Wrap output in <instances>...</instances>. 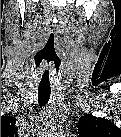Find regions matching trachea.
Instances as JSON below:
<instances>
[{"mask_svg":"<svg viewBox=\"0 0 121 137\" xmlns=\"http://www.w3.org/2000/svg\"><path fill=\"white\" fill-rule=\"evenodd\" d=\"M56 32L53 28L48 36L47 43L43 51V68L40 72V83L38 87V103L45 106L50 98L51 87V67L56 60Z\"/></svg>","mask_w":121,"mask_h":137,"instance_id":"1","label":"trachea"}]
</instances>
